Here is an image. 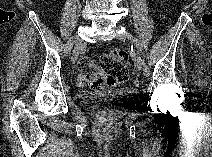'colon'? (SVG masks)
<instances>
[{
  "instance_id": "1",
  "label": "colon",
  "mask_w": 212,
  "mask_h": 157,
  "mask_svg": "<svg viewBox=\"0 0 212 157\" xmlns=\"http://www.w3.org/2000/svg\"><path fill=\"white\" fill-rule=\"evenodd\" d=\"M128 56L125 50L113 48L101 57L98 64L91 60L80 65L78 76L81 88L101 89L105 86L119 85L129 76Z\"/></svg>"
}]
</instances>
